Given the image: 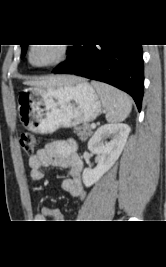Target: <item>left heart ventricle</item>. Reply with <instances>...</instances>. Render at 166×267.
<instances>
[{"instance_id": "left-heart-ventricle-1", "label": "left heart ventricle", "mask_w": 166, "mask_h": 267, "mask_svg": "<svg viewBox=\"0 0 166 267\" xmlns=\"http://www.w3.org/2000/svg\"><path fill=\"white\" fill-rule=\"evenodd\" d=\"M57 56V49L54 45L45 44L37 46L31 55L35 64H43L52 61Z\"/></svg>"}]
</instances>
